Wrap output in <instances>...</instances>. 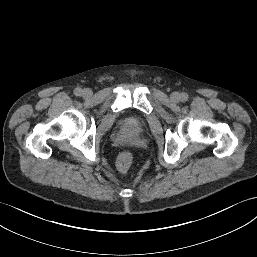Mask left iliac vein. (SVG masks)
<instances>
[{"mask_svg":"<svg viewBox=\"0 0 257 257\" xmlns=\"http://www.w3.org/2000/svg\"><path fill=\"white\" fill-rule=\"evenodd\" d=\"M170 98L173 102H178L180 100V94L178 92H173Z\"/></svg>","mask_w":257,"mask_h":257,"instance_id":"1","label":"left iliac vein"}]
</instances>
